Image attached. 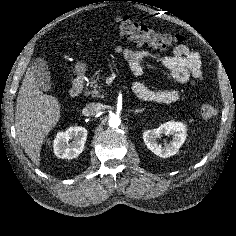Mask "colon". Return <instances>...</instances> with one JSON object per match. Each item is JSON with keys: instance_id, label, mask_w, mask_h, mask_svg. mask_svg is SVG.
Returning <instances> with one entry per match:
<instances>
[{"instance_id": "obj_1", "label": "colon", "mask_w": 236, "mask_h": 236, "mask_svg": "<svg viewBox=\"0 0 236 236\" xmlns=\"http://www.w3.org/2000/svg\"><path fill=\"white\" fill-rule=\"evenodd\" d=\"M118 31L138 44H149L158 47H173L182 42L177 35L163 33L139 23L128 16H118L115 19ZM218 114V108L213 103H204L201 115L204 119H212Z\"/></svg>"}]
</instances>
